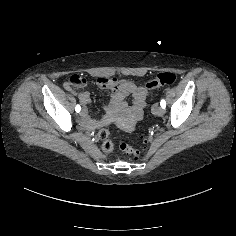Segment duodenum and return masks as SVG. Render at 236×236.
<instances>
[{"label":"duodenum","instance_id":"duodenum-1","mask_svg":"<svg viewBox=\"0 0 236 236\" xmlns=\"http://www.w3.org/2000/svg\"><path fill=\"white\" fill-rule=\"evenodd\" d=\"M107 86L116 89L114 91V94H113L112 103L108 107V109L110 111H112L116 107H125L126 104H125V101H124V93L123 92L135 93V87L133 85L127 83V82L117 83V82H114L112 80H109L107 82ZM142 101L143 100L141 98H136L135 106H134V109L136 111H139L140 103ZM110 122H111V119L109 117L104 119L102 122H98V123L90 120L87 117L84 118V125L88 129H92V128L96 127V126H99V125H102V124H107V123H110Z\"/></svg>","mask_w":236,"mask_h":236}]
</instances>
